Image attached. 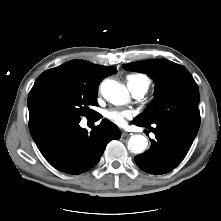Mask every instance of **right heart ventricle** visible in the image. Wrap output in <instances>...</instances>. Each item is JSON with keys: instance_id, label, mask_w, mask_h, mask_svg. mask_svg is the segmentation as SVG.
I'll list each match as a JSON object with an SVG mask.
<instances>
[{"instance_id": "obj_1", "label": "right heart ventricle", "mask_w": 221, "mask_h": 221, "mask_svg": "<svg viewBox=\"0 0 221 221\" xmlns=\"http://www.w3.org/2000/svg\"><path fill=\"white\" fill-rule=\"evenodd\" d=\"M128 85L132 88H142L145 91L149 88L150 80L143 74H132L127 77Z\"/></svg>"}]
</instances>
